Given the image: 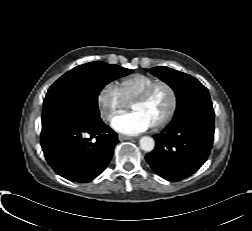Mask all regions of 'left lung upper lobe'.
I'll list each match as a JSON object with an SVG mask.
<instances>
[{
  "label": "left lung upper lobe",
  "instance_id": "left-lung-upper-lobe-1",
  "mask_svg": "<svg viewBox=\"0 0 252 231\" xmlns=\"http://www.w3.org/2000/svg\"><path fill=\"white\" fill-rule=\"evenodd\" d=\"M150 72L174 90L177 97L175 114L195 105H212L207 88L196 78L168 67H154Z\"/></svg>",
  "mask_w": 252,
  "mask_h": 231
}]
</instances>
